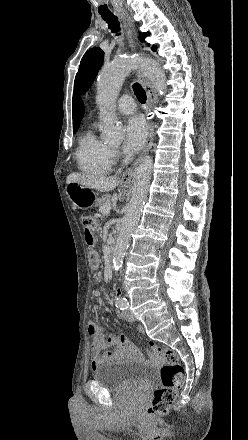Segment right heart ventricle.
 Masks as SVG:
<instances>
[{
    "mask_svg": "<svg viewBox=\"0 0 248 440\" xmlns=\"http://www.w3.org/2000/svg\"><path fill=\"white\" fill-rule=\"evenodd\" d=\"M111 149L89 129L79 139L75 154L78 168L90 175L108 174L112 169Z\"/></svg>",
    "mask_w": 248,
    "mask_h": 440,
    "instance_id": "right-heart-ventricle-1",
    "label": "right heart ventricle"
}]
</instances>
